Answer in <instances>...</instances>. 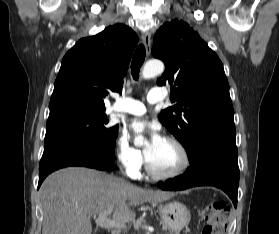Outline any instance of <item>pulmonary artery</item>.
<instances>
[{
  "label": "pulmonary artery",
  "instance_id": "obj_1",
  "mask_svg": "<svg viewBox=\"0 0 279 234\" xmlns=\"http://www.w3.org/2000/svg\"><path fill=\"white\" fill-rule=\"evenodd\" d=\"M166 98V93L163 90H152L147 95V101L151 104L163 101ZM113 110L124 112L132 115H142L146 112V107L143 102L132 98H126L113 105Z\"/></svg>",
  "mask_w": 279,
  "mask_h": 234
}]
</instances>
